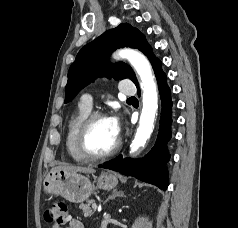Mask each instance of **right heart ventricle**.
Segmentation results:
<instances>
[{
	"label": "right heart ventricle",
	"instance_id": "e07e8e85",
	"mask_svg": "<svg viewBox=\"0 0 238 228\" xmlns=\"http://www.w3.org/2000/svg\"><path fill=\"white\" fill-rule=\"evenodd\" d=\"M90 112H91L90 107L86 106L82 102H79L77 108L72 113L67 123V130H66V137H65L66 150L68 154L70 155V157L78 163H84L87 161V159L84 158L79 153L77 149L76 141H77L79 127Z\"/></svg>",
	"mask_w": 238,
	"mask_h": 228
}]
</instances>
